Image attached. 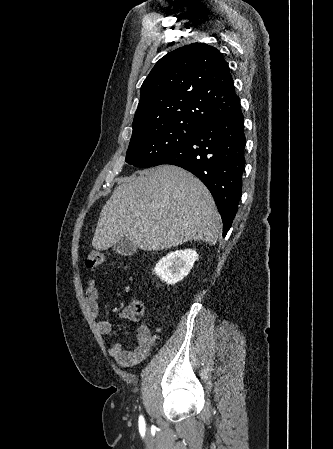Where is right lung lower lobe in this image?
<instances>
[{"mask_svg":"<svg viewBox=\"0 0 333 449\" xmlns=\"http://www.w3.org/2000/svg\"><path fill=\"white\" fill-rule=\"evenodd\" d=\"M245 144L244 116L238 102L202 124L157 163L182 167L206 185L222 217L223 236L232 225L242 194Z\"/></svg>","mask_w":333,"mask_h":449,"instance_id":"obj_1","label":"right lung lower lobe"}]
</instances>
